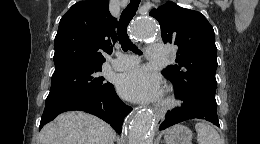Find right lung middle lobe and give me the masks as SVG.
<instances>
[{
  "instance_id": "obj_1",
  "label": "right lung middle lobe",
  "mask_w": 260,
  "mask_h": 144,
  "mask_svg": "<svg viewBox=\"0 0 260 144\" xmlns=\"http://www.w3.org/2000/svg\"><path fill=\"white\" fill-rule=\"evenodd\" d=\"M102 65L72 64L55 69L47 99L62 96H95L113 88L99 75Z\"/></svg>"
}]
</instances>
